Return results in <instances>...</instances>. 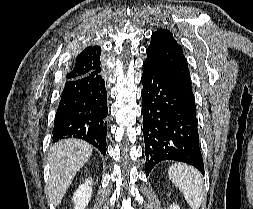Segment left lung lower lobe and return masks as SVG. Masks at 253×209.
Returning a JSON list of instances; mask_svg holds the SVG:
<instances>
[{
  "label": "left lung lower lobe",
  "mask_w": 253,
  "mask_h": 209,
  "mask_svg": "<svg viewBox=\"0 0 253 209\" xmlns=\"http://www.w3.org/2000/svg\"><path fill=\"white\" fill-rule=\"evenodd\" d=\"M143 68L146 176L164 160L188 163L204 175L196 111L167 71L148 61Z\"/></svg>",
  "instance_id": "left-lung-lower-lobe-1"
}]
</instances>
